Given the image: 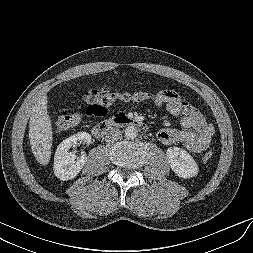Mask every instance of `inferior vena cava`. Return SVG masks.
Wrapping results in <instances>:
<instances>
[{
  "mask_svg": "<svg viewBox=\"0 0 253 253\" xmlns=\"http://www.w3.org/2000/svg\"><path fill=\"white\" fill-rule=\"evenodd\" d=\"M122 137V133L119 129L109 127L104 132V139L107 142L117 141Z\"/></svg>",
  "mask_w": 253,
  "mask_h": 253,
  "instance_id": "1",
  "label": "inferior vena cava"
}]
</instances>
